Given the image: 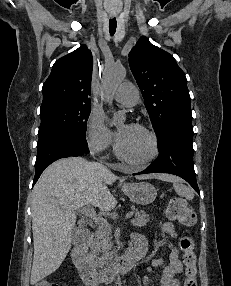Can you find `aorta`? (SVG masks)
Listing matches in <instances>:
<instances>
[{
	"mask_svg": "<svg viewBox=\"0 0 231 286\" xmlns=\"http://www.w3.org/2000/svg\"><path fill=\"white\" fill-rule=\"evenodd\" d=\"M126 75V70L121 65H112L104 70L101 80V90L103 98L112 103V95ZM126 118L122 111H114L111 126L121 124Z\"/></svg>",
	"mask_w": 231,
	"mask_h": 286,
	"instance_id": "obj_1",
	"label": "aorta"
}]
</instances>
